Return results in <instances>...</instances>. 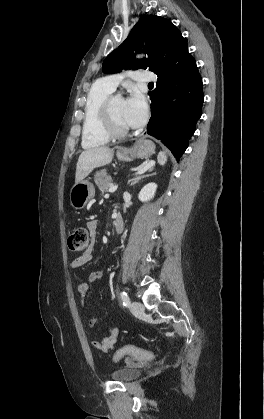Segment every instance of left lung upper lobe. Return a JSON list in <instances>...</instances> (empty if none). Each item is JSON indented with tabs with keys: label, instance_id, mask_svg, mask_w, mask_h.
I'll list each match as a JSON object with an SVG mask.
<instances>
[{
	"label": "left lung upper lobe",
	"instance_id": "1",
	"mask_svg": "<svg viewBox=\"0 0 264 419\" xmlns=\"http://www.w3.org/2000/svg\"><path fill=\"white\" fill-rule=\"evenodd\" d=\"M180 35L181 32L168 19L144 15L133 27L128 38L104 59L103 72L114 74L123 69L149 68L156 73L165 49ZM134 51H144L149 57L135 59Z\"/></svg>",
	"mask_w": 264,
	"mask_h": 419
}]
</instances>
